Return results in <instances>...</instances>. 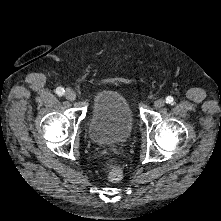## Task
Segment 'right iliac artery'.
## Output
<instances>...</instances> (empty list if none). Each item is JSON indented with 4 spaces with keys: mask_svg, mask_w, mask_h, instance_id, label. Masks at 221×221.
<instances>
[{
    "mask_svg": "<svg viewBox=\"0 0 221 221\" xmlns=\"http://www.w3.org/2000/svg\"><path fill=\"white\" fill-rule=\"evenodd\" d=\"M64 92H65V90H64L62 87H58V88L56 89V94H57L58 96H63V95H64Z\"/></svg>",
    "mask_w": 221,
    "mask_h": 221,
    "instance_id": "right-iliac-artery-1",
    "label": "right iliac artery"
}]
</instances>
